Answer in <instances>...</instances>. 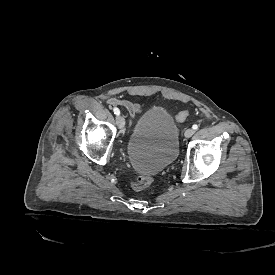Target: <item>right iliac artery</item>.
<instances>
[{
    "label": "right iliac artery",
    "mask_w": 275,
    "mask_h": 275,
    "mask_svg": "<svg viewBox=\"0 0 275 275\" xmlns=\"http://www.w3.org/2000/svg\"><path fill=\"white\" fill-rule=\"evenodd\" d=\"M113 111H114V114H116L117 116H119L120 111H119V109H118V108H114V109H113Z\"/></svg>",
    "instance_id": "obj_1"
}]
</instances>
